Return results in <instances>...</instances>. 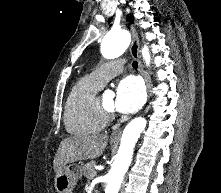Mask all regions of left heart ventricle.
Segmentation results:
<instances>
[{
	"label": "left heart ventricle",
	"instance_id": "1",
	"mask_svg": "<svg viewBox=\"0 0 221 193\" xmlns=\"http://www.w3.org/2000/svg\"><path fill=\"white\" fill-rule=\"evenodd\" d=\"M101 103L108 109H113L114 107V96L113 95H103L100 97Z\"/></svg>",
	"mask_w": 221,
	"mask_h": 193
}]
</instances>
